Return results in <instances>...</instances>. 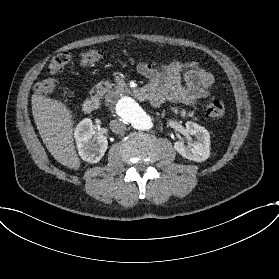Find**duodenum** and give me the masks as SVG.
<instances>
[{"label":"duodenum","instance_id":"1","mask_svg":"<svg viewBox=\"0 0 279 279\" xmlns=\"http://www.w3.org/2000/svg\"><path fill=\"white\" fill-rule=\"evenodd\" d=\"M114 92L116 94H125V95H131L137 100H146L149 97L148 92L145 89H139V90H131L126 85H118L115 87ZM83 111L86 114H91L95 111L97 108V100L94 97H88L84 100L82 105Z\"/></svg>","mask_w":279,"mask_h":279}]
</instances>
